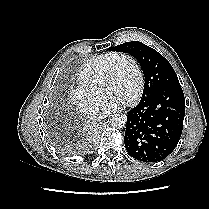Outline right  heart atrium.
<instances>
[{"label":"right heart atrium","mask_w":209,"mask_h":209,"mask_svg":"<svg viewBox=\"0 0 209 209\" xmlns=\"http://www.w3.org/2000/svg\"><path fill=\"white\" fill-rule=\"evenodd\" d=\"M71 101L85 116L99 118L106 107V102L101 94L84 89L80 86L71 91Z\"/></svg>","instance_id":"1"}]
</instances>
